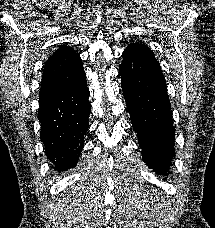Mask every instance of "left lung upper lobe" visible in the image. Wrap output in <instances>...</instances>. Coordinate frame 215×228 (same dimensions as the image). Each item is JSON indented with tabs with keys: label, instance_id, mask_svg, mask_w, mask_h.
Instances as JSON below:
<instances>
[{
	"label": "left lung upper lobe",
	"instance_id": "obj_1",
	"mask_svg": "<svg viewBox=\"0 0 215 228\" xmlns=\"http://www.w3.org/2000/svg\"><path fill=\"white\" fill-rule=\"evenodd\" d=\"M125 50H139V51L151 52V50L142 43H132Z\"/></svg>",
	"mask_w": 215,
	"mask_h": 228
}]
</instances>
